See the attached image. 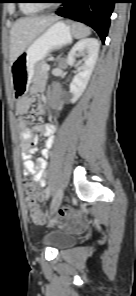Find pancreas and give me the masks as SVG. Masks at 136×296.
I'll list each match as a JSON object with an SVG mask.
<instances>
[{
  "label": "pancreas",
  "instance_id": "pancreas-1",
  "mask_svg": "<svg viewBox=\"0 0 136 296\" xmlns=\"http://www.w3.org/2000/svg\"><path fill=\"white\" fill-rule=\"evenodd\" d=\"M47 65L45 63H40L37 66V77L41 78V77H46L47 76V71L45 69Z\"/></svg>",
  "mask_w": 136,
  "mask_h": 296
}]
</instances>
